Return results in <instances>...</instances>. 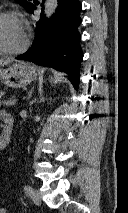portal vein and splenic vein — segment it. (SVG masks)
Listing matches in <instances>:
<instances>
[{
	"label": "portal vein and splenic vein",
	"instance_id": "18ae733b",
	"mask_svg": "<svg viewBox=\"0 0 128 213\" xmlns=\"http://www.w3.org/2000/svg\"><path fill=\"white\" fill-rule=\"evenodd\" d=\"M8 102H10V101H5V103H8ZM15 103H16V100L11 101L9 105H13V104H15Z\"/></svg>",
	"mask_w": 128,
	"mask_h": 213
}]
</instances>
